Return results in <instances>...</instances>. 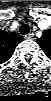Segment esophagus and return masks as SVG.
Segmentation results:
<instances>
[{
  "label": "esophagus",
  "instance_id": "1",
  "mask_svg": "<svg viewBox=\"0 0 51 101\" xmlns=\"http://www.w3.org/2000/svg\"><path fill=\"white\" fill-rule=\"evenodd\" d=\"M33 37H34L33 33H29V34L25 35L26 39H32Z\"/></svg>",
  "mask_w": 51,
  "mask_h": 101
}]
</instances>
